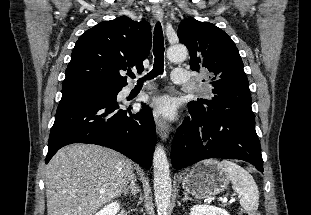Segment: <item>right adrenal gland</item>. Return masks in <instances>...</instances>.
<instances>
[{"label": "right adrenal gland", "mask_w": 311, "mask_h": 215, "mask_svg": "<svg viewBox=\"0 0 311 215\" xmlns=\"http://www.w3.org/2000/svg\"><path fill=\"white\" fill-rule=\"evenodd\" d=\"M136 176L133 175L131 180H130V185L124 190V195L126 196L129 194V192L133 195L136 196L139 193V187L136 184Z\"/></svg>", "instance_id": "obj_1"}]
</instances>
